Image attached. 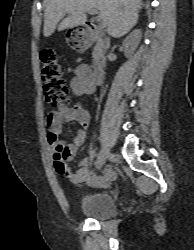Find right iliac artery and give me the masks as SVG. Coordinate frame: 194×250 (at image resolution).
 <instances>
[{
  "label": "right iliac artery",
  "mask_w": 194,
  "mask_h": 250,
  "mask_svg": "<svg viewBox=\"0 0 194 250\" xmlns=\"http://www.w3.org/2000/svg\"><path fill=\"white\" fill-rule=\"evenodd\" d=\"M101 153H102V151H100V152L98 153V159L101 157ZM92 154L94 155V152H93ZM97 163H98V160H97Z\"/></svg>",
  "instance_id": "82829eb1"
}]
</instances>
